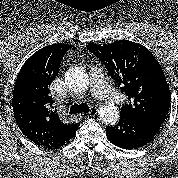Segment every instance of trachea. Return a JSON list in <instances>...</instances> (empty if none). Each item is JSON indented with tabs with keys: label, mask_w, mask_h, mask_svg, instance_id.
<instances>
[{
	"label": "trachea",
	"mask_w": 178,
	"mask_h": 178,
	"mask_svg": "<svg viewBox=\"0 0 178 178\" xmlns=\"http://www.w3.org/2000/svg\"><path fill=\"white\" fill-rule=\"evenodd\" d=\"M80 112L88 113L89 112V106L85 103H82V104H79V105L73 104L70 107L69 114H77V113H80Z\"/></svg>",
	"instance_id": "3493384b"
}]
</instances>
